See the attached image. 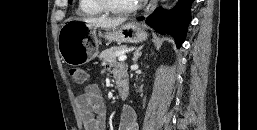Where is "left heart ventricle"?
I'll use <instances>...</instances> for the list:
<instances>
[{
    "mask_svg": "<svg viewBox=\"0 0 257 130\" xmlns=\"http://www.w3.org/2000/svg\"><path fill=\"white\" fill-rule=\"evenodd\" d=\"M110 1L118 7H129L137 3L139 0H110Z\"/></svg>",
    "mask_w": 257,
    "mask_h": 130,
    "instance_id": "1",
    "label": "left heart ventricle"
}]
</instances>
